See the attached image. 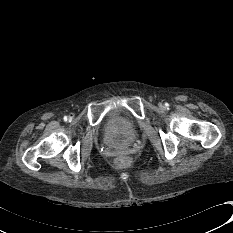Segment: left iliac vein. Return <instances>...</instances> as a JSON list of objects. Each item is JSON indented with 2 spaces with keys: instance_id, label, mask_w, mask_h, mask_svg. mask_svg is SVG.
I'll list each match as a JSON object with an SVG mask.
<instances>
[{
  "instance_id": "1",
  "label": "left iliac vein",
  "mask_w": 233,
  "mask_h": 233,
  "mask_svg": "<svg viewBox=\"0 0 233 233\" xmlns=\"http://www.w3.org/2000/svg\"><path fill=\"white\" fill-rule=\"evenodd\" d=\"M161 108H163L164 106L163 105H160Z\"/></svg>"
}]
</instances>
